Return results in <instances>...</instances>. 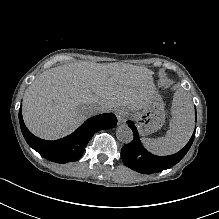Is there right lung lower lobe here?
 Wrapping results in <instances>:
<instances>
[{"label":"right lung lower lobe","instance_id":"right-lung-lower-lobe-1","mask_svg":"<svg viewBox=\"0 0 219 219\" xmlns=\"http://www.w3.org/2000/svg\"><path fill=\"white\" fill-rule=\"evenodd\" d=\"M19 122L24 138L35 151L50 161L67 163L76 161L83 155L87 143L97 131L115 127L117 118L113 113L91 117L72 134L56 141L43 140L29 132L22 119L21 107Z\"/></svg>","mask_w":219,"mask_h":219}]
</instances>
